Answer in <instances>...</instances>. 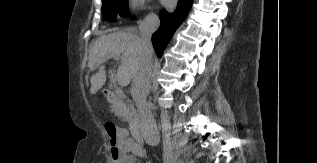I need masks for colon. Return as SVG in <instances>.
Listing matches in <instances>:
<instances>
[{
	"instance_id": "obj_1",
	"label": "colon",
	"mask_w": 317,
	"mask_h": 163,
	"mask_svg": "<svg viewBox=\"0 0 317 163\" xmlns=\"http://www.w3.org/2000/svg\"><path fill=\"white\" fill-rule=\"evenodd\" d=\"M106 131H107V134L110 138V142L112 145V154H113L114 158L117 159L121 155V152L118 151L116 148V143L118 142L117 128L112 124H107Z\"/></svg>"
}]
</instances>
